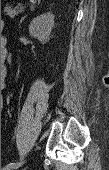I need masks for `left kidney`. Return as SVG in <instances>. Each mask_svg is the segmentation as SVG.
<instances>
[{
	"instance_id": "left-kidney-1",
	"label": "left kidney",
	"mask_w": 109,
	"mask_h": 170,
	"mask_svg": "<svg viewBox=\"0 0 109 170\" xmlns=\"http://www.w3.org/2000/svg\"><path fill=\"white\" fill-rule=\"evenodd\" d=\"M54 26V15L51 12L35 17L29 25V33L37 38L42 44L48 41Z\"/></svg>"
}]
</instances>
